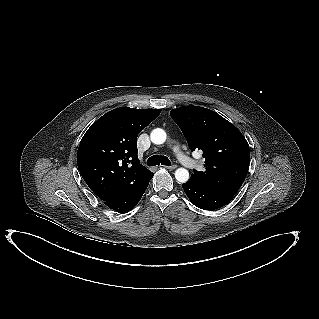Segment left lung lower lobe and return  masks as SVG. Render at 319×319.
Wrapping results in <instances>:
<instances>
[{"mask_svg":"<svg viewBox=\"0 0 319 319\" xmlns=\"http://www.w3.org/2000/svg\"><path fill=\"white\" fill-rule=\"evenodd\" d=\"M182 187L189 200L200 209H218L228 204L233 198V195L192 178L184 183Z\"/></svg>","mask_w":319,"mask_h":319,"instance_id":"0a47b994","label":"left lung lower lobe"}]
</instances>
